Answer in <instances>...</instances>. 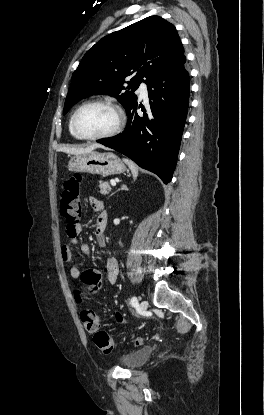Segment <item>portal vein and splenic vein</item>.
Returning a JSON list of instances; mask_svg holds the SVG:
<instances>
[{
	"label": "portal vein and splenic vein",
	"mask_w": 264,
	"mask_h": 415,
	"mask_svg": "<svg viewBox=\"0 0 264 415\" xmlns=\"http://www.w3.org/2000/svg\"><path fill=\"white\" fill-rule=\"evenodd\" d=\"M111 185H112V186H115V185H116V182H115L114 180H112V181H111Z\"/></svg>",
	"instance_id": "portal-vein-and-splenic-vein-1"
}]
</instances>
